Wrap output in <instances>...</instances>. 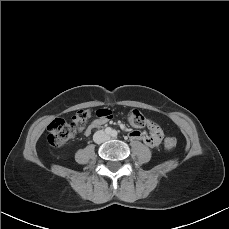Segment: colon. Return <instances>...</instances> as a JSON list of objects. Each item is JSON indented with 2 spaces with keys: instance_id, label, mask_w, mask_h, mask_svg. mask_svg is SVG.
Wrapping results in <instances>:
<instances>
[{
  "instance_id": "colon-1",
  "label": "colon",
  "mask_w": 229,
  "mask_h": 229,
  "mask_svg": "<svg viewBox=\"0 0 229 229\" xmlns=\"http://www.w3.org/2000/svg\"><path fill=\"white\" fill-rule=\"evenodd\" d=\"M97 113L101 116L110 117L111 112L107 109H99ZM91 111L88 109L79 110L71 122L63 119H55L47 128V141L53 147L64 145L79 130L84 128L90 117ZM129 122L135 127H144L148 125V119L137 109H131L128 113ZM164 147L167 150H174L177 147L175 137H167L164 140Z\"/></svg>"
}]
</instances>
